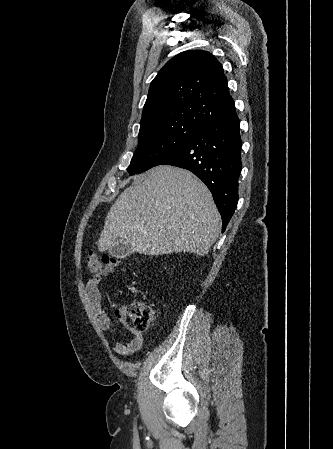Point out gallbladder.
<instances>
[{"mask_svg": "<svg viewBox=\"0 0 333 449\" xmlns=\"http://www.w3.org/2000/svg\"><path fill=\"white\" fill-rule=\"evenodd\" d=\"M109 254L115 258H124L133 253V249L129 243H126L124 240L118 239L116 243L109 248Z\"/></svg>", "mask_w": 333, "mask_h": 449, "instance_id": "bac80fb5", "label": "gallbladder"}]
</instances>
